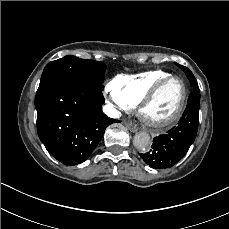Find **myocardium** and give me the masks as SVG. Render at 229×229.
Segmentation results:
<instances>
[{
  "label": "myocardium",
  "instance_id": "f54148a6",
  "mask_svg": "<svg viewBox=\"0 0 229 229\" xmlns=\"http://www.w3.org/2000/svg\"><path fill=\"white\" fill-rule=\"evenodd\" d=\"M175 79H180L183 82L184 87H185V99H184V102L182 104V107L180 108V110L177 112V114L174 117H172V118H170L164 122H155L147 115L146 105L151 100L153 95L161 87L165 86L168 83H172L173 80H175ZM189 99H190V91H189L188 85L186 83V80L182 76L171 75V76H167L166 79L159 78L158 80L152 82L149 85L148 89L144 92V95L141 96L140 102L137 103V108L141 109L142 119L147 126H149L150 128H152L156 131H163V130L170 128L171 126L176 124L181 119V117L184 114L186 107L189 103Z\"/></svg>",
  "mask_w": 229,
  "mask_h": 229
}]
</instances>
